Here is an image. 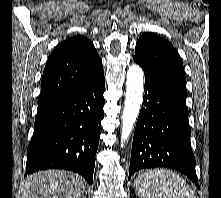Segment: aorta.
<instances>
[{"label": "aorta", "instance_id": "762f6f07", "mask_svg": "<svg viewBox=\"0 0 221 198\" xmlns=\"http://www.w3.org/2000/svg\"><path fill=\"white\" fill-rule=\"evenodd\" d=\"M144 73L142 68L133 64L127 71L126 97L122 116L121 147L129 138L142 104Z\"/></svg>", "mask_w": 221, "mask_h": 198}]
</instances>
